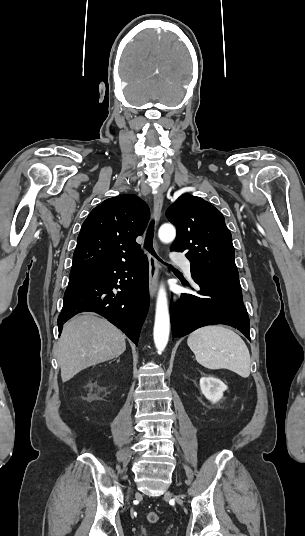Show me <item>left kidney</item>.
Listing matches in <instances>:
<instances>
[{"mask_svg":"<svg viewBox=\"0 0 305 536\" xmlns=\"http://www.w3.org/2000/svg\"><path fill=\"white\" fill-rule=\"evenodd\" d=\"M200 388L205 398L210 400V402H213V404L219 402L223 396V392L227 390L226 384L221 382V380H218V378H214V376H205V378H201Z\"/></svg>","mask_w":305,"mask_h":536,"instance_id":"1","label":"left kidney"}]
</instances>
